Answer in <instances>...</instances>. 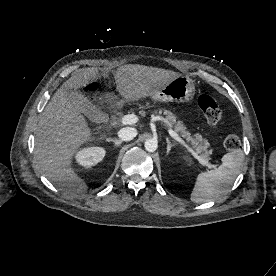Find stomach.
<instances>
[{
	"mask_svg": "<svg viewBox=\"0 0 276 276\" xmlns=\"http://www.w3.org/2000/svg\"><path fill=\"white\" fill-rule=\"evenodd\" d=\"M195 96V86L188 76H178L167 84L157 88L151 97L163 102L188 103Z\"/></svg>",
	"mask_w": 276,
	"mask_h": 276,
	"instance_id": "obj_1",
	"label": "stomach"
}]
</instances>
